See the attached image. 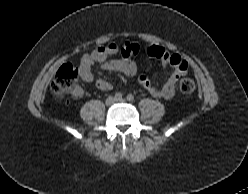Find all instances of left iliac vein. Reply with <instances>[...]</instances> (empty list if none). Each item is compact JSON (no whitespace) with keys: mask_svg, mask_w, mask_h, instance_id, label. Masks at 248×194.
I'll return each mask as SVG.
<instances>
[{"mask_svg":"<svg viewBox=\"0 0 248 194\" xmlns=\"http://www.w3.org/2000/svg\"><path fill=\"white\" fill-rule=\"evenodd\" d=\"M124 99L116 100V102H124Z\"/></svg>","mask_w":248,"mask_h":194,"instance_id":"4c4485c4","label":"left iliac vein"}]
</instances>
